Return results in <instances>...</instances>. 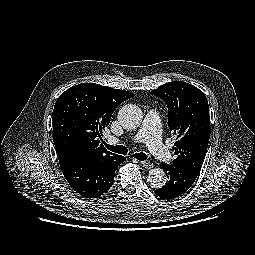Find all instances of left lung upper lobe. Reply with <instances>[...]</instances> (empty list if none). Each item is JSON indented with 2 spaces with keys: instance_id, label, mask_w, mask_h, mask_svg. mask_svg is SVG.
Masks as SVG:
<instances>
[{
  "instance_id": "obj_1",
  "label": "left lung upper lobe",
  "mask_w": 255,
  "mask_h": 255,
  "mask_svg": "<svg viewBox=\"0 0 255 255\" xmlns=\"http://www.w3.org/2000/svg\"><path fill=\"white\" fill-rule=\"evenodd\" d=\"M168 107V126L176 136L173 164L199 175L210 138L209 106L205 94L183 81L161 85L150 92Z\"/></svg>"
}]
</instances>
